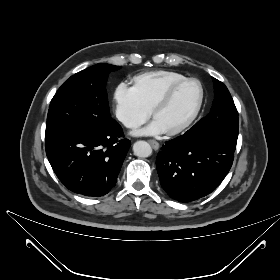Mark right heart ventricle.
Segmentation results:
<instances>
[{"label": "right heart ventricle", "instance_id": "right-heart-ventricle-1", "mask_svg": "<svg viewBox=\"0 0 280 280\" xmlns=\"http://www.w3.org/2000/svg\"><path fill=\"white\" fill-rule=\"evenodd\" d=\"M186 77L178 72L156 70L140 73L133 77L134 88L143 103L151 109L163 92L173 83Z\"/></svg>", "mask_w": 280, "mask_h": 280}]
</instances>
